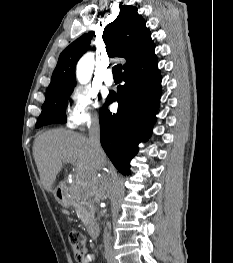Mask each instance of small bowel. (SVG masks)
Returning <instances> with one entry per match:
<instances>
[{
	"instance_id": "1",
	"label": "small bowel",
	"mask_w": 233,
	"mask_h": 263,
	"mask_svg": "<svg viewBox=\"0 0 233 263\" xmlns=\"http://www.w3.org/2000/svg\"><path fill=\"white\" fill-rule=\"evenodd\" d=\"M93 261L94 256L92 254H87L82 260L78 261V263H93Z\"/></svg>"
}]
</instances>
